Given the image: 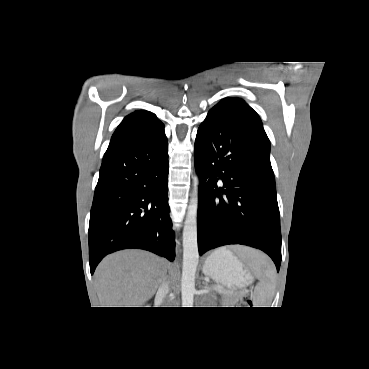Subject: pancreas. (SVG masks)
Returning a JSON list of instances; mask_svg holds the SVG:
<instances>
[{
  "instance_id": "obj_1",
  "label": "pancreas",
  "mask_w": 369,
  "mask_h": 369,
  "mask_svg": "<svg viewBox=\"0 0 369 369\" xmlns=\"http://www.w3.org/2000/svg\"><path fill=\"white\" fill-rule=\"evenodd\" d=\"M217 292H219L221 295H223L224 300L227 302V304L233 305L235 304L240 298L243 297L244 293L240 292V293H233L231 291L228 290H224V289H217L215 290Z\"/></svg>"
}]
</instances>
